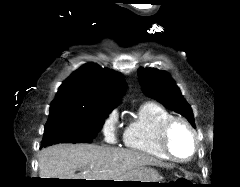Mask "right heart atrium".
Masks as SVG:
<instances>
[{"mask_svg":"<svg viewBox=\"0 0 240 187\" xmlns=\"http://www.w3.org/2000/svg\"><path fill=\"white\" fill-rule=\"evenodd\" d=\"M118 113L111 111L103 120L101 125V132L104 140L107 143H115L118 137Z\"/></svg>","mask_w":240,"mask_h":187,"instance_id":"1","label":"right heart atrium"}]
</instances>
